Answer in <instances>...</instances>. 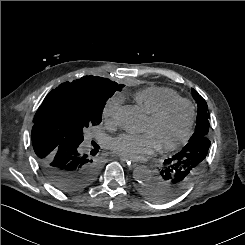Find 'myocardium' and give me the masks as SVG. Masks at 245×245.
<instances>
[{
	"label": "myocardium",
	"mask_w": 245,
	"mask_h": 245,
	"mask_svg": "<svg viewBox=\"0 0 245 245\" xmlns=\"http://www.w3.org/2000/svg\"><path fill=\"white\" fill-rule=\"evenodd\" d=\"M178 104H184L189 109V119H188L186 129H185L183 135L176 142H174L172 144L158 146V149H160V150L174 151V150L182 147L184 144H186L192 135L193 127H194L195 120H196V107H195L194 103L189 99L180 97V98L168 101L167 103L162 105L159 109H157L155 112L151 113L149 116V119L152 122L159 121L164 115H166V113L171 108H173L175 105H178Z\"/></svg>",
	"instance_id": "1"
}]
</instances>
